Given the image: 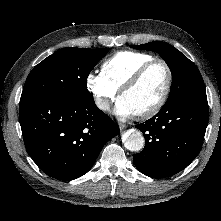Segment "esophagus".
Masks as SVG:
<instances>
[{"label":"esophagus","instance_id":"1","mask_svg":"<svg viewBox=\"0 0 221 221\" xmlns=\"http://www.w3.org/2000/svg\"><path fill=\"white\" fill-rule=\"evenodd\" d=\"M120 131H124L126 126L124 124H119Z\"/></svg>","mask_w":221,"mask_h":221}]
</instances>
